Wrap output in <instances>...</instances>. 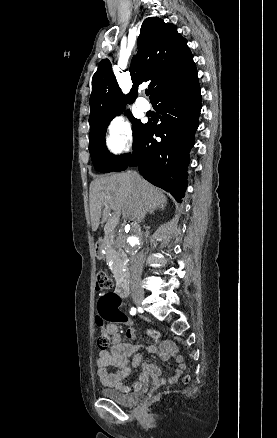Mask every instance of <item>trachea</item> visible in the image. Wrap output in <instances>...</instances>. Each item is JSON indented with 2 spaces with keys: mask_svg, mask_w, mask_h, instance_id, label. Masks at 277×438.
I'll list each match as a JSON object with an SVG mask.
<instances>
[{
  "mask_svg": "<svg viewBox=\"0 0 277 438\" xmlns=\"http://www.w3.org/2000/svg\"><path fill=\"white\" fill-rule=\"evenodd\" d=\"M145 94H146L147 96H149L150 91H149V90H145Z\"/></svg>",
  "mask_w": 277,
  "mask_h": 438,
  "instance_id": "trachea-1",
  "label": "trachea"
}]
</instances>
